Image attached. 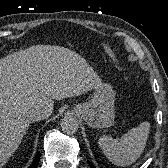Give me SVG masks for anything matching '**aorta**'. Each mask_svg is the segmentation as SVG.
Masks as SVG:
<instances>
[{
	"label": "aorta",
	"instance_id": "aorta-1",
	"mask_svg": "<svg viewBox=\"0 0 168 168\" xmlns=\"http://www.w3.org/2000/svg\"><path fill=\"white\" fill-rule=\"evenodd\" d=\"M61 129L64 133L73 134L79 128V123L76 117L71 115H67L61 120Z\"/></svg>",
	"mask_w": 168,
	"mask_h": 168
}]
</instances>
